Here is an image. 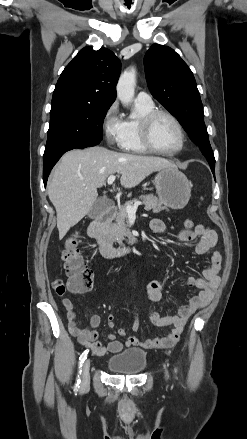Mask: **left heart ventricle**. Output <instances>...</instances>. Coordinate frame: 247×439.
<instances>
[{
  "mask_svg": "<svg viewBox=\"0 0 247 439\" xmlns=\"http://www.w3.org/2000/svg\"><path fill=\"white\" fill-rule=\"evenodd\" d=\"M152 144L159 150L172 151L179 146L180 136L176 125L166 116H159L151 127Z\"/></svg>",
  "mask_w": 247,
  "mask_h": 439,
  "instance_id": "obj_1",
  "label": "left heart ventricle"
}]
</instances>
